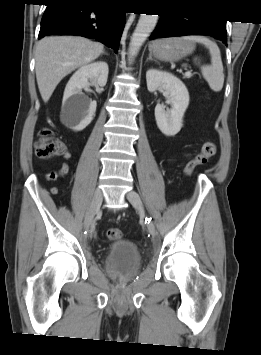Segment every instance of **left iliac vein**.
Instances as JSON below:
<instances>
[{
  "mask_svg": "<svg viewBox=\"0 0 261 355\" xmlns=\"http://www.w3.org/2000/svg\"><path fill=\"white\" fill-rule=\"evenodd\" d=\"M126 197H127L128 201L133 205V207L138 211L139 215L142 218H145L146 214H145L144 206L142 204V201H141L138 193H136L135 191H130L127 193ZM146 226H147L149 233L151 235H155L156 230H155L154 224L152 222H150L149 224L147 223Z\"/></svg>",
  "mask_w": 261,
  "mask_h": 355,
  "instance_id": "obj_1",
  "label": "left iliac vein"
}]
</instances>
